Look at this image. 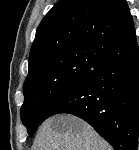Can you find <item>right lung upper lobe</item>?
I'll return each instance as SVG.
<instances>
[{
    "label": "right lung upper lobe",
    "mask_w": 139,
    "mask_h": 150,
    "mask_svg": "<svg viewBox=\"0 0 139 150\" xmlns=\"http://www.w3.org/2000/svg\"><path fill=\"white\" fill-rule=\"evenodd\" d=\"M133 26L125 0H60L37 28L29 55V72L62 51L111 46Z\"/></svg>",
    "instance_id": "1"
}]
</instances>
